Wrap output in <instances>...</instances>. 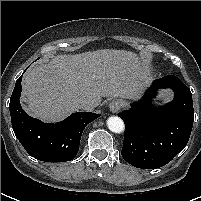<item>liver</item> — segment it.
Masks as SVG:
<instances>
[{
  "label": "liver",
  "instance_id": "1",
  "mask_svg": "<svg viewBox=\"0 0 201 201\" xmlns=\"http://www.w3.org/2000/svg\"><path fill=\"white\" fill-rule=\"evenodd\" d=\"M146 80L144 67L131 51L101 49L58 55L24 75L23 108L34 117L54 122L75 112L81 98L136 97Z\"/></svg>",
  "mask_w": 201,
  "mask_h": 201
}]
</instances>
